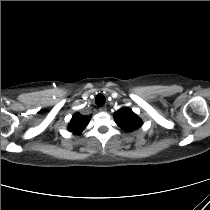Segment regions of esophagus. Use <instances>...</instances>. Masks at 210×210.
Here are the masks:
<instances>
[{"instance_id": "obj_1", "label": "esophagus", "mask_w": 210, "mask_h": 210, "mask_svg": "<svg viewBox=\"0 0 210 210\" xmlns=\"http://www.w3.org/2000/svg\"><path fill=\"white\" fill-rule=\"evenodd\" d=\"M99 110H100L101 112H105V111L107 110V107H106V106H102V107L99 108Z\"/></svg>"}]
</instances>
